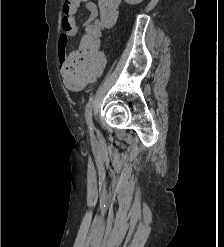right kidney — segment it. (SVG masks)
Here are the masks:
<instances>
[{
  "label": "right kidney",
  "instance_id": "ca27d5eb",
  "mask_svg": "<svg viewBox=\"0 0 224 247\" xmlns=\"http://www.w3.org/2000/svg\"><path fill=\"white\" fill-rule=\"evenodd\" d=\"M125 2H127V4H131V6H135V4H141L143 0H125Z\"/></svg>",
  "mask_w": 224,
  "mask_h": 247
}]
</instances>
